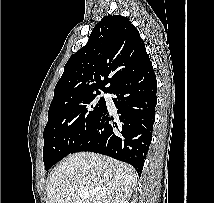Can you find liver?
Here are the masks:
<instances>
[{
  "instance_id": "1",
  "label": "liver",
  "mask_w": 214,
  "mask_h": 203,
  "mask_svg": "<svg viewBox=\"0 0 214 203\" xmlns=\"http://www.w3.org/2000/svg\"><path fill=\"white\" fill-rule=\"evenodd\" d=\"M138 175L134 168L108 156L80 152L64 158L52 171L46 192L49 203H128ZM88 190L80 199L78 189Z\"/></svg>"
}]
</instances>
